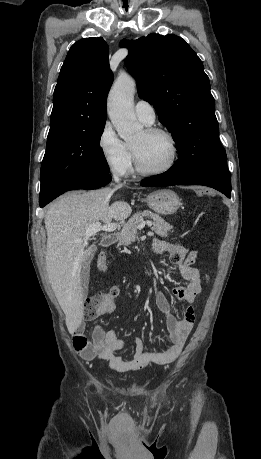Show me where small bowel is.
Listing matches in <instances>:
<instances>
[{
	"instance_id": "c3829d8e",
	"label": "small bowel",
	"mask_w": 261,
	"mask_h": 459,
	"mask_svg": "<svg viewBox=\"0 0 261 459\" xmlns=\"http://www.w3.org/2000/svg\"><path fill=\"white\" fill-rule=\"evenodd\" d=\"M152 249L157 254L167 256L186 281L185 286L176 287L171 291L172 295L184 305V311L179 317L174 314L172 305L164 293L158 292L155 295V303L165 317L168 330V347L161 351H145L140 338L136 337L130 341L121 340L116 331H105L101 325H97L91 337H88L84 323L80 322L73 326L70 331L74 350L84 360H103L108 363L112 371L125 373L139 370L150 364L172 363L182 353L196 319L193 303L201 292L200 274L198 269L194 267L197 252L182 245L168 244L158 239L153 241ZM120 291L118 285L112 286L107 291L110 298L107 305L101 310L100 316L110 314L114 310V299L120 294ZM128 343L134 345V353L130 359H124L116 352Z\"/></svg>"
}]
</instances>
